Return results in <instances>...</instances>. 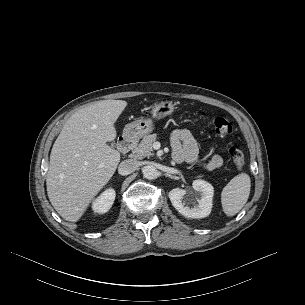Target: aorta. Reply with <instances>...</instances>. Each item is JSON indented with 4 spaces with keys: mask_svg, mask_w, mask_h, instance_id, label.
I'll use <instances>...</instances> for the list:
<instances>
[{
    "mask_svg": "<svg viewBox=\"0 0 305 305\" xmlns=\"http://www.w3.org/2000/svg\"><path fill=\"white\" fill-rule=\"evenodd\" d=\"M143 175L147 179H155L157 177L158 171L153 165H147L143 168Z\"/></svg>",
    "mask_w": 305,
    "mask_h": 305,
    "instance_id": "aorta-1",
    "label": "aorta"
}]
</instances>
